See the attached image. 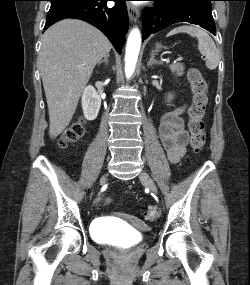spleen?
<instances>
[{"instance_id": "3e777b00", "label": "spleen", "mask_w": 250, "mask_h": 285, "mask_svg": "<svg viewBox=\"0 0 250 285\" xmlns=\"http://www.w3.org/2000/svg\"><path fill=\"white\" fill-rule=\"evenodd\" d=\"M177 33H187L198 39V49L206 57V67L210 70L217 68L219 63V52L212 38L206 31L196 26H180L171 30L167 37Z\"/></svg>"}]
</instances>
